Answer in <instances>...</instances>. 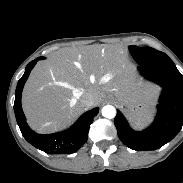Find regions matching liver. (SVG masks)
Here are the masks:
<instances>
[{
  "mask_svg": "<svg viewBox=\"0 0 183 183\" xmlns=\"http://www.w3.org/2000/svg\"><path fill=\"white\" fill-rule=\"evenodd\" d=\"M107 90L127 102L152 99L156 92L140 90L122 48L89 45L63 49L39 62L25 84L22 105L33 129L52 132L85 110L80 101L84 92H92L97 105Z\"/></svg>",
  "mask_w": 183,
  "mask_h": 183,
  "instance_id": "obj_1",
  "label": "liver"
}]
</instances>
